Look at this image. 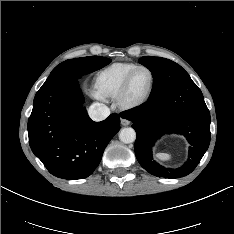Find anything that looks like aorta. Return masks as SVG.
Wrapping results in <instances>:
<instances>
[{
    "mask_svg": "<svg viewBox=\"0 0 234 234\" xmlns=\"http://www.w3.org/2000/svg\"><path fill=\"white\" fill-rule=\"evenodd\" d=\"M119 139L123 143H132L136 139V132L133 128L131 127H126L120 130L119 132Z\"/></svg>",
    "mask_w": 234,
    "mask_h": 234,
    "instance_id": "1",
    "label": "aorta"
}]
</instances>
